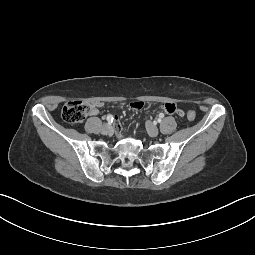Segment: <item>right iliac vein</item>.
I'll list each match as a JSON object with an SVG mask.
<instances>
[{"label": "right iliac vein", "instance_id": "1", "mask_svg": "<svg viewBox=\"0 0 255 255\" xmlns=\"http://www.w3.org/2000/svg\"><path fill=\"white\" fill-rule=\"evenodd\" d=\"M111 130H112V127H111V125L108 123V124H104L103 125V127H102V129H101V132H102V134H109L110 132H111Z\"/></svg>", "mask_w": 255, "mask_h": 255}]
</instances>
